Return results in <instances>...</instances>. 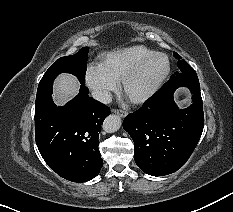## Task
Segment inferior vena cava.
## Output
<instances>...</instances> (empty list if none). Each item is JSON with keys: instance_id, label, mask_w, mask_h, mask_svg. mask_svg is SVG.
I'll return each instance as SVG.
<instances>
[{"instance_id": "602c4592", "label": "inferior vena cava", "mask_w": 233, "mask_h": 212, "mask_svg": "<svg viewBox=\"0 0 233 212\" xmlns=\"http://www.w3.org/2000/svg\"><path fill=\"white\" fill-rule=\"evenodd\" d=\"M92 97L95 100L102 102L104 104H109L112 101V97H111L110 92H108L107 90H103V89L93 90Z\"/></svg>"}]
</instances>
